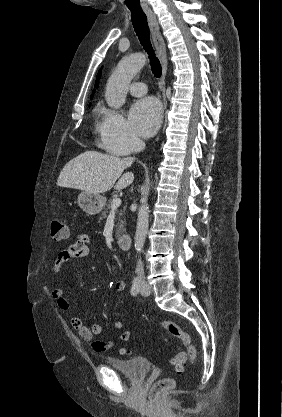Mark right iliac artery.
I'll use <instances>...</instances> for the list:
<instances>
[{
    "label": "right iliac artery",
    "instance_id": "obj_1",
    "mask_svg": "<svg viewBox=\"0 0 282 417\" xmlns=\"http://www.w3.org/2000/svg\"><path fill=\"white\" fill-rule=\"evenodd\" d=\"M139 281L138 280H134L131 286V290L130 293L132 296H136L139 293Z\"/></svg>",
    "mask_w": 282,
    "mask_h": 417
}]
</instances>
